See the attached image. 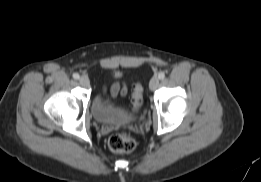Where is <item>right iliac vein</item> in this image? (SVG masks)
<instances>
[{
  "instance_id": "obj_1",
  "label": "right iliac vein",
  "mask_w": 261,
  "mask_h": 182,
  "mask_svg": "<svg viewBox=\"0 0 261 182\" xmlns=\"http://www.w3.org/2000/svg\"><path fill=\"white\" fill-rule=\"evenodd\" d=\"M79 83H80L82 86H84V87H88V86L90 85V80H89L88 77L82 76V77H80V79H79Z\"/></svg>"
}]
</instances>
